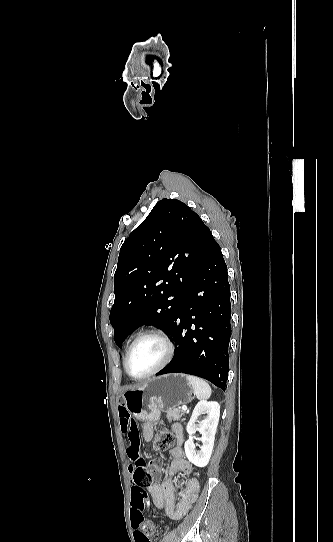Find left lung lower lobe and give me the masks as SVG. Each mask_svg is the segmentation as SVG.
<instances>
[{
    "label": "left lung lower lobe",
    "mask_w": 333,
    "mask_h": 542,
    "mask_svg": "<svg viewBox=\"0 0 333 542\" xmlns=\"http://www.w3.org/2000/svg\"><path fill=\"white\" fill-rule=\"evenodd\" d=\"M230 317L227 266L220 246L213 240L184 295L182 313L170 333L175 342L173 359L156 375L191 374L225 391L229 370Z\"/></svg>",
    "instance_id": "1"
}]
</instances>
